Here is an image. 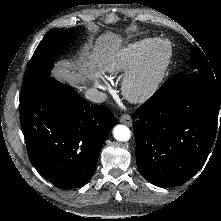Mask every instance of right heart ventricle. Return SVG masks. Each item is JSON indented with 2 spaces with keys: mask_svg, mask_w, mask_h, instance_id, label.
<instances>
[{
  "mask_svg": "<svg viewBox=\"0 0 221 221\" xmlns=\"http://www.w3.org/2000/svg\"><path fill=\"white\" fill-rule=\"evenodd\" d=\"M155 41V38H144L129 44L106 67L107 73L117 75L131 72L143 61Z\"/></svg>",
  "mask_w": 221,
  "mask_h": 221,
  "instance_id": "1",
  "label": "right heart ventricle"
}]
</instances>
